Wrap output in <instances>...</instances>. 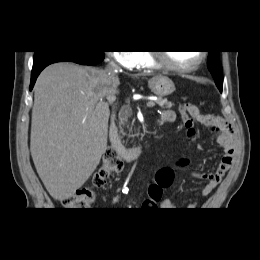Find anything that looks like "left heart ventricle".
<instances>
[{
    "mask_svg": "<svg viewBox=\"0 0 260 260\" xmlns=\"http://www.w3.org/2000/svg\"><path fill=\"white\" fill-rule=\"evenodd\" d=\"M167 58L173 64L187 66L195 63L199 58L198 51H173L166 53Z\"/></svg>",
    "mask_w": 260,
    "mask_h": 260,
    "instance_id": "left-heart-ventricle-1",
    "label": "left heart ventricle"
}]
</instances>
